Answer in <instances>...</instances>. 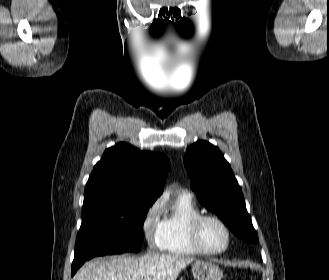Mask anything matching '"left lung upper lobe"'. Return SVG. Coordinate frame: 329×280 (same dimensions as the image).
I'll use <instances>...</instances> for the list:
<instances>
[{
    "instance_id": "1",
    "label": "left lung upper lobe",
    "mask_w": 329,
    "mask_h": 280,
    "mask_svg": "<svg viewBox=\"0 0 329 280\" xmlns=\"http://www.w3.org/2000/svg\"><path fill=\"white\" fill-rule=\"evenodd\" d=\"M184 165L199 202L215 212L238 238L258 242L241 188L221 151L209 142L198 141L187 149Z\"/></svg>"
}]
</instances>
